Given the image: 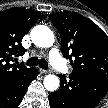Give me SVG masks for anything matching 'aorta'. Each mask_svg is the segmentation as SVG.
Listing matches in <instances>:
<instances>
[{"mask_svg": "<svg viewBox=\"0 0 108 108\" xmlns=\"http://www.w3.org/2000/svg\"><path fill=\"white\" fill-rule=\"evenodd\" d=\"M30 37L32 42L42 48L51 47L54 43L52 30L44 25H37L32 28ZM44 86L48 91L54 92L59 88L60 80L54 74H49L44 78Z\"/></svg>", "mask_w": 108, "mask_h": 108, "instance_id": "obj_1", "label": "aorta"}]
</instances>
